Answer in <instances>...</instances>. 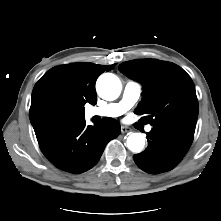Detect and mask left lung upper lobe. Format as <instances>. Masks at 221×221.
I'll return each instance as SVG.
<instances>
[{"instance_id":"left-lung-upper-lobe-1","label":"left lung upper lobe","mask_w":221,"mask_h":221,"mask_svg":"<svg viewBox=\"0 0 221 221\" xmlns=\"http://www.w3.org/2000/svg\"><path fill=\"white\" fill-rule=\"evenodd\" d=\"M119 70L143 85V98L135 110L144 123L166 127L193 138L198 100L190 76L178 65L156 59L123 62Z\"/></svg>"}]
</instances>
